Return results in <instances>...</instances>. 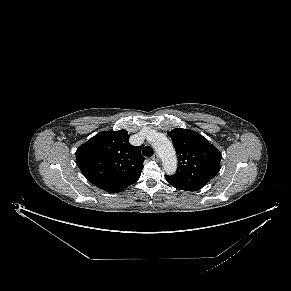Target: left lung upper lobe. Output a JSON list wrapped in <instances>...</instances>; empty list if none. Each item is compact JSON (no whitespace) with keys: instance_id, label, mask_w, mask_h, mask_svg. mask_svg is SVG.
<instances>
[{"instance_id":"left-lung-upper-lobe-1","label":"left lung upper lobe","mask_w":291,"mask_h":291,"mask_svg":"<svg viewBox=\"0 0 291 291\" xmlns=\"http://www.w3.org/2000/svg\"><path fill=\"white\" fill-rule=\"evenodd\" d=\"M178 155V168L167 176L178 184L206 185L220 170L221 152L201 134L176 128L168 133Z\"/></svg>"}]
</instances>
